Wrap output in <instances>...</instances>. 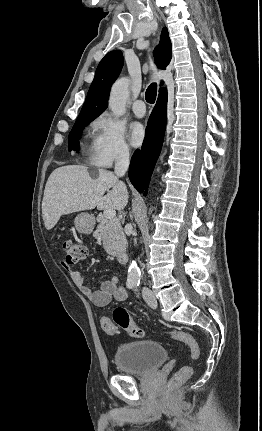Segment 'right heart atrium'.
Returning <instances> with one entry per match:
<instances>
[{"instance_id":"obj_1","label":"right heart atrium","mask_w":262,"mask_h":431,"mask_svg":"<svg viewBox=\"0 0 262 431\" xmlns=\"http://www.w3.org/2000/svg\"><path fill=\"white\" fill-rule=\"evenodd\" d=\"M91 160L99 166H110L116 160L129 158L131 150L121 124L109 114H101L93 123Z\"/></svg>"}]
</instances>
